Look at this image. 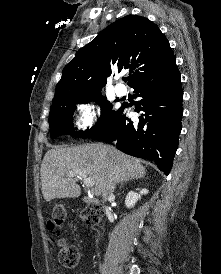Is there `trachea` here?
<instances>
[{
    "instance_id": "3493384b",
    "label": "trachea",
    "mask_w": 221,
    "mask_h": 274,
    "mask_svg": "<svg viewBox=\"0 0 221 274\" xmlns=\"http://www.w3.org/2000/svg\"><path fill=\"white\" fill-rule=\"evenodd\" d=\"M123 81H124V82H126V81H127V79H126V78H123Z\"/></svg>"
}]
</instances>
